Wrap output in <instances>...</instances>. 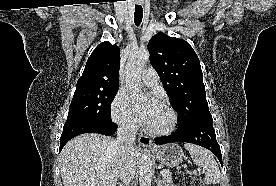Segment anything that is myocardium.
<instances>
[{"mask_svg": "<svg viewBox=\"0 0 276 186\" xmlns=\"http://www.w3.org/2000/svg\"><path fill=\"white\" fill-rule=\"evenodd\" d=\"M160 105H162L170 113L171 122H170L169 126L164 129L153 130V129H149L147 127L145 129L146 133H148L149 135H152V136L168 135L176 129L177 124H178V115H177L176 111L174 110V108L167 102H161Z\"/></svg>", "mask_w": 276, "mask_h": 186, "instance_id": "obj_1", "label": "myocardium"}]
</instances>
